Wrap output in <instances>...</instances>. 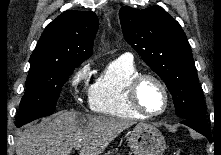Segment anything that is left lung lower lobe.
I'll return each mask as SVG.
<instances>
[{"label": "left lung lower lobe", "mask_w": 221, "mask_h": 155, "mask_svg": "<svg viewBox=\"0 0 221 155\" xmlns=\"http://www.w3.org/2000/svg\"><path fill=\"white\" fill-rule=\"evenodd\" d=\"M181 123L205 135L208 138V140L211 142V130L209 126L207 125L206 121L185 119V120H182Z\"/></svg>", "instance_id": "1"}]
</instances>
